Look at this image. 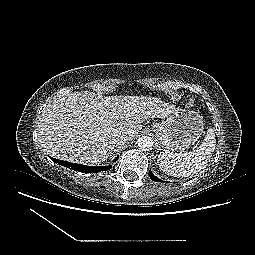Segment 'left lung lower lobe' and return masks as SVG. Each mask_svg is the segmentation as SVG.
<instances>
[{
	"label": "left lung lower lobe",
	"instance_id": "obj_1",
	"mask_svg": "<svg viewBox=\"0 0 255 255\" xmlns=\"http://www.w3.org/2000/svg\"><path fill=\"white\" fill-rule=\"evenodd\" d=\"M149 177L155 181V182H163L162 180L158 179L156 176H154V174L152 173V171H149Z\"/></svg>",
	"mask_w": 255,
	"mask_h": 255
}]
</instances>
